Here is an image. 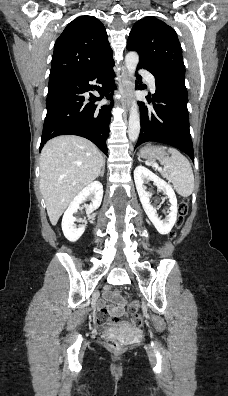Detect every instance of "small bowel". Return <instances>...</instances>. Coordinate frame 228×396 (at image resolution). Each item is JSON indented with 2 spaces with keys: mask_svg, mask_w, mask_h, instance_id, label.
I'll list each match as a JSON object with an SVG mask.
<instances>
[{
  "mask_svg": "<svg viewBox=\"0 0 228 396\" xmlns=\"http://www.w3.org/2000/svg\"><path fill=\"white\" fill-rule=\"evenodd\" d=\"M125 300L111 292H106L105 300L98 302V308L102 316L98 317V322L103 323L104 316L110 315H122L124 313Z\"/></svg>",
  "mask_w": 228,
  "mask_h": 396,
  "instance_id": "small-bowel-1",
  "label": "small bowel"
}]
</instances>
